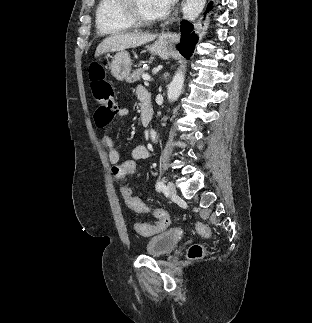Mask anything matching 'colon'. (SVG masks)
<instances>
[{
	"label": "colon",
	"instance_id": "5ec220e1",
	"mask_svg": "<svg viewBox=\"0 0 312 323\" xmlns=\"http://www.w3.org/2000/svg\"><path fill=\"white\" fill-rule=\"evenodd\" d=\"M90 78L93 97L98 102V106L94 114V121L96 122L97 127L103 128L107 126L118 113V107L114 101L113 87L106 79L104 68L100 65L93 67ZM135 165L136 162L134 160H127L126 164L119 166L112 165L111 171L115 172V176L118 177V180H121V177L124 176V172L127 171L133 173ZM123 189H126V186H123ZM124 193V203L129 204L131 213H142V207H148V204L138 202L137 197H131L129 190H124ZM155 211H157L155 213L157 221L154 224L136 223L133 225V230L141 235H152L168 229L171 225L170 217L166 212L158 211V208H155ZM195 229L201 233H209L206 226L202 223H197ZM203 255L204 249L200 244H193L188 250V257L191 260H198L202 258Z\"/></svg>",
	"mask_w": 312,
	"mask_h": 323
}]
</instances>
